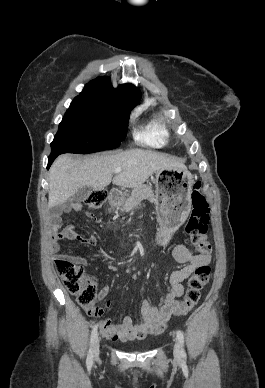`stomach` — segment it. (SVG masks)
Returning <instances> with one entry per match:
<instances>
[{
  "label": "stomach",
  "instance_id": "stomach-1",
  "mask_svg": "<svg viewBox=\"0 0 265 388\" xmlns=\"http://www.w3.org/2000/svg\"><path fill=\"white\" fill-rule=\"evenodd\" d=\"M155 206L162 226L161 242L185 222L191 210L193 179L184 168H163L155 173Z\"/></svg>",
  "mask_w": 265,
  "mask_h": 388
}]
</instances>
